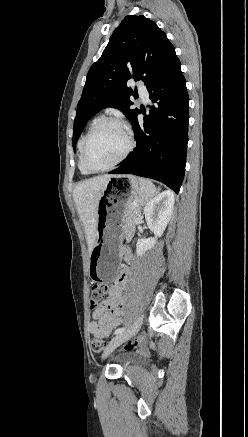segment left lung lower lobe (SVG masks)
I'll list each match as a JSON object with an SVG mask.
<instances>
[{
	"label": "left lung lower lobe",
	"mask_w": 248,
	"mask_h": 437,
	"mask_svg": "<svg viewBox=\"0 0 248 437\" xmlns=\"http://www.w3.org/2000/svg\"><path fill=\"white\" fill-rule=\"evenodd\" d=\"M147 90L152 101L150 114L143 125L137 116L132 123L136 149L110 174L152 178L178 194L185 172L189 122V97L179 59Z\"/></svg>",
	"instance_id": "1"
}]
</instances>
